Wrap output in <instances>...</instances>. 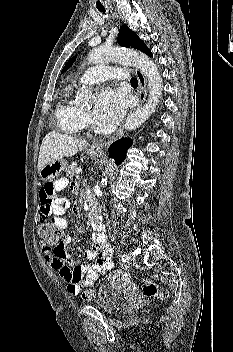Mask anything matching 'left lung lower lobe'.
Returning <instances> with one entry per match:
<instances>
[{
	"mask_svg": "<svg viewBox=\"0 0 233 352\" xmlns=\"http://www.w3.org/2000/svg\"><path fill=\"white\" fill-rule=\"evenodd\" d=\"M132 140L129 138H121L111 144L109 148V157L115 159L120 164L126 157V151L131 146Z\"/></svg>",
	"mask_w": 233,
	"mask_h": 352,
	"instance_id": "left-lung-lower-lobe-1",
	"label": "left lung lower lobe"
}]
</instances>
